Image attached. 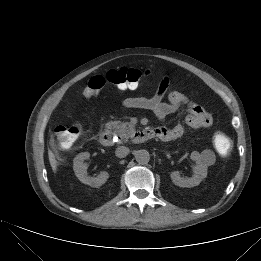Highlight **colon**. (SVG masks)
Returning <instances> with one entry per match:
<instances>
[{"label": "colon", "instance_id": "colon-1", "mask_svg": "<svg viewBox=\"0 0 261 261\" xmlns=\"http://www.w3.org/2000/svg\"><path fill=\"white\" fill-rule=\"evenodd\" d=\"M147 74L148 71H141L136 68L121 67L112 69L104 75L92 77L87 83L83 95L86 98L95 97L107 83L117 87L122 85H138ZM80 133L81 129L78 126H57L54 130L56 140L63 148L71 147L78 139ZM213 144L216 151L222 156L229 155L233 149L232 140L222 131L214 133Z\"/></svg>", "mask_w": 261, "mask_h": 261}]
</instances>
